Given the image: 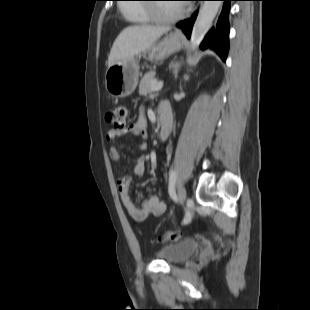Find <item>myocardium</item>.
Returning a JSON list of instances; mask_svg holds the SVG:
<instances>
[{
  "label": "myocardium",
  "mask_w": 310,
  "mask_h": 310,
  "mask_svg": "<svg viewBox=\"0 0 310 310\" xmlns=\"http://www.w3.org/2000/svg\"><path fill=\"white\" fill-rule=\"evenodd\" d=\"M148 11L150 13L151 18L156 22H172L180 19L186 14V10L184 9H181L171 14H163L159 10L158 6H149Z\"/></svg>",
  "instance_id": "obj_1"
}]
</instances>
